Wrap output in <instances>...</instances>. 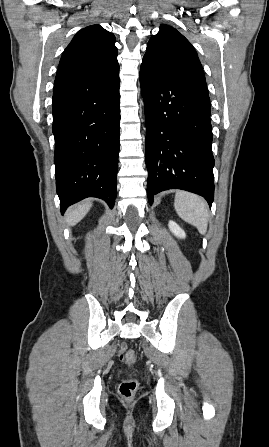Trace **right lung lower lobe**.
Masks as SVG:
<instances>
[{
	"instance_id": "obj_1",
	"label": "right lung lower lobe",
	"mask_w": 269,
	"mask_h": 447,
	"mask_svg": "<svg viewBox=\"0 0 269 447\" xmlns=\"http://www.w3.org/2000/svg\"><path fill=\"white\" fill-rule=\"evenodd\" d=\"M119 69L96 79L55 84L54 162L61 212L86 197L116 198Z\"/></svg>"
}]
</instances>
